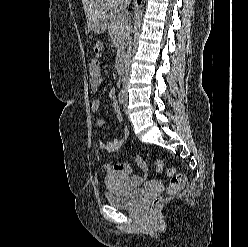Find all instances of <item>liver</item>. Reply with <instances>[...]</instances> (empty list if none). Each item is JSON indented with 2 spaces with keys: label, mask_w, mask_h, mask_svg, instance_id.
Instances as JSON below:
<instances>
[{
  "label": "liver",
  "mask_w": 248,
  "mask_h": 247,
  "mask_svg": "<svg viewBox=\"0 0 248 247\" xmlns=\"http://www.w3.org/2000/svg\"><path fill=\"white\" fill-rule=\"evenodd\" d=\"M131 0H82L88 30H92L98 20L108 11H122Z\"/></svg>",
  "instance_id": "liver-1"
}]
</instances>
